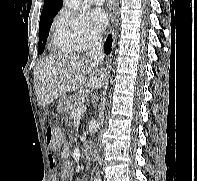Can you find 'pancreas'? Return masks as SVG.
I'll return each instance as SVG.
<instances>
[{
  "mask_svg": "<svg viewBox=\"0 0 197 181\" xmlns=\"http://www.w3.org/2000/svg\"><path fill=\"white\" fill-rule=\"evenodd\" d=\"M84 95H85L84 92H79V93L75 94V96L73 97V103L71 105V109L69 112V119L72 120L74 118V116L76 115L78 107L82 105V102L80 99Z\"/></svg>",
  "mask_w": 197,
  "mask_h": 181,
  "instance_id": "obj_1",
  "label": "pancreas"
}]
</instances>
